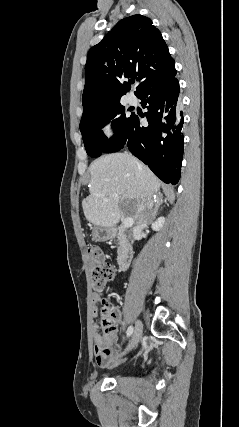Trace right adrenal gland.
Listing matches in <instances>:
<instances>
[{
    "label": "right adrenal gland",
    "instance_id": "2a0ac1e0",
    "mask_svg": "<svg viewBox=\"0 0 239 427\" xmlns=\"http://www.w3.org/2000/svg\"><path fill=\"white\" fill-rule=\"evenodd\" d=\"M161 196H162V195L159 193V198H161ZM158 204H159V203H156L155 211H157V210H158Z\"/></svg>",
    "mask_w": 239,
    "mask_h": 427
}]
</instances>
